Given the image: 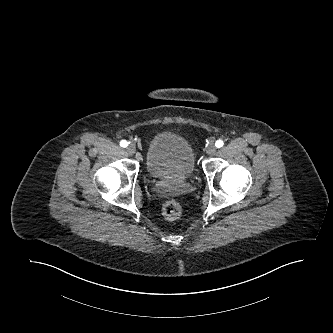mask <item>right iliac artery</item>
I'll list each match as a JSON object with an SVG mask.
<instances>
[{"label": "right iliac artery", "mask_w": 333, "mask_h": 333, "mask_svg": "<svg viewBox=\"0 0 333 333\" xmlns=\"http://www.w3.org/2000/svg\"><path fill=\"white\" fill-rule=\"evenodd\" d=\"M120 146L125 148L128 146V142L126 140H122L120 141Z\"/></svg>", "instance_id": "82829eb1"}]
</instances>
